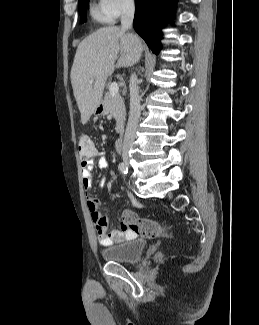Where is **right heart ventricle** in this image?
Segmentation results:
<instances>
[{
	"mask_svg": "<svg viewBox=\"0 0 259 325\" xmlns=\"http://www.w3.org/2000/svg\"><path fill=\"white\" fill-rule=\"evenodd\" d=\"M91 17L98 22H109L110 20L102 13L98 4H93L90 8Z\"/></svg>",
	"mask_w": 259,
	"mask_h": 325,
	"instance_id": "e07e8e85",
	"label": "right heart ventricle"
}]
</instances>
